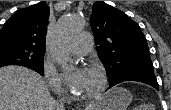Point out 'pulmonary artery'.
<instances>
[{
  "label": "pulmonary artery",
  "instance_id": "e3ab8cb5",
  "mask_svg": "<svg viewBox=\"0 0 171 110\" xmlns=\"http://www.w3.org/2000/svg\"><path fill=\"white\" fill-rule=\"evenodd\" d=\"M93 46V40L88 33H79L74 36L69 44L70 51L74 54H87Z\"/></svg>",
  "mask_w": 171,
  "mask_h": 110
}]
</instances>
